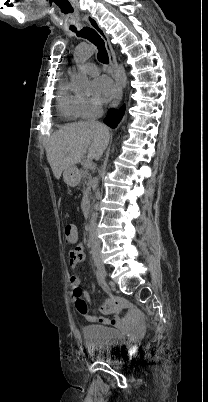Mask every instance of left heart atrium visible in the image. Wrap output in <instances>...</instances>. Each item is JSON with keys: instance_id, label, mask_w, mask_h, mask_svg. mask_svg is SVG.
<instances>
[{"instance_id": "left-heart-atrium-1", "label": "left heart atrium", "mask_w": 208, "mask_h": 402, "mask_svg": "<svg viewBox=\"0 0 208 402\" xmlns=\"http://www.w3.org/2000/svg\"><path fill=\"white\" fill-rule=\"evenodd\" d=\"M94 89L98 92V98L104 102L111 101L116 94L114 83L105 75H100L95 78Z\"/></svg>"}]
</instances>
